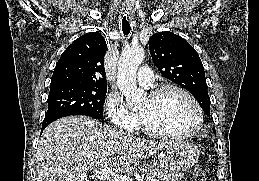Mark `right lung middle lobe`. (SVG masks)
<instances>
[{"label":"right lung middle lobe","instance_id":"right-lung-middle-lobe-1","mask_svg":"<svg viewBox=\"0 0 259 181\" xmlns=\"http://www.w3.org/2000/svg\"><path fill=\"white\" fill-rule=\"evenodd\" d=\"M107 87L59 85L50 87L43 124L71 115L101 119Z\"/></svg>","mask_w":259,"mask_h":181}]
</instances>
